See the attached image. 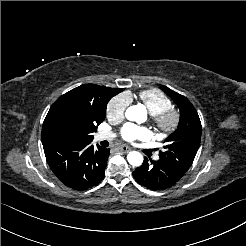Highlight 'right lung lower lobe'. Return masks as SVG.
<instances>
[{
  "mask_svg": "<svg viewBox=\"0 0 246 246\" xmlns=\"http://www.w3.org/2000/svg\"><path fill=\"white\" fill-rule=\"evenodd\" d=\"M53 173L68 187L86 190L104 177L109 149L91 142H49L43 145Z\"/></svg>",
  "mask_w": 246,
  "mask_h": 246,
  "instance_id": "1",
  "label": "right lung lower lobe"
}]
</instances>
